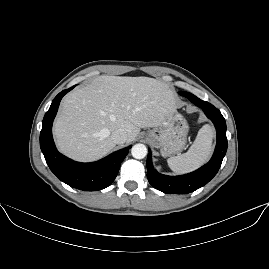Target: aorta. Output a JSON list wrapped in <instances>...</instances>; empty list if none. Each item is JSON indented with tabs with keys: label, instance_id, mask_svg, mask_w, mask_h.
<instances>
[{
	"label": "aorta",
	"instance_id": "1",
	"mask_svg": "<svg viewBox=\"0 0 269 269\" xmlns=\"http://www.w3.org/2000/svg\"><path fill=\"white\" fill-rule=\"evenodd\" d=\"M131 154L135 159H143L147 155V148L144 144H135L131 149Z\"/></svg>",
	"mask_w": 269,
	"mask_h": 269
}]
</instances>
